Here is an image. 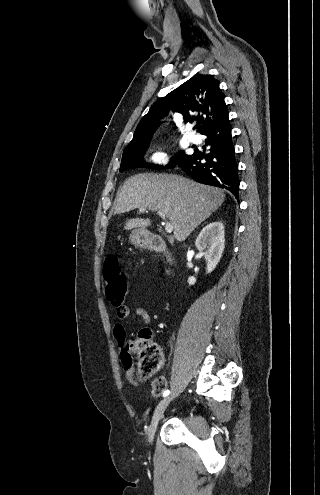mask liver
<instances>
[{
	"instance_id": "liver-1",
	"label": "liver",
	"mask_w": 320,
	"mask_h": 495,
	"mask_svg": "<svg viewBox=\"0 0 320 495\" xmlns=\"http://www.w3.org/2000/svg\"><path fill=\"white\" fill-rule=\"evenodd\" d=\"M224 200L223 190L176 175L138 174L125 181L117 198L115 213L143 207L161 211L171 222L175 239L184 241ZM150 224L149 218L130 219L125 222L124 229L144 230Z\"/></svg>"
}]
</instances>
